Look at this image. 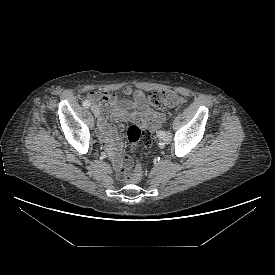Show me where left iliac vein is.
Wrapping results in <instances>:
<instances>
[{"mask_svg":"<svg viewBox=\"0 0 275 275\" xmlns=\"http://www.w3.org/2000/svg\"><path fill=\"white\" fill-rule=\"evenodd\" d=\"M170 140H171V135H170V133H166V134L164 135V137L162 138V141H163L165 144L169 143Z\"/></svg>","mask_w":275,"mask_h":275,"instance_id":"obj_1","label":"left iliac vein"}]
</instances>
